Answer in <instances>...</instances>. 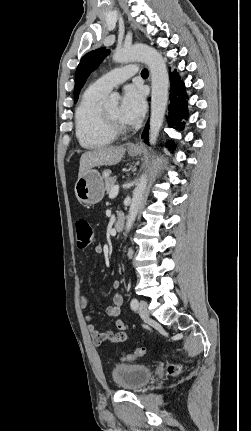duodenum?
<instances>
[{
    "label": "duodenum",
    "mask_w": 251,
    "mask_h": 431,
    "mask_svg": "<svg viewBox=\"0 0 251 431\" xmlns=\"http://www.w3.org/2000/svg\"><path fill=\"white\" fill-rule=\"evenodd\" d=\"M124 224H125V217H124V214H123V213H121V212H119V213L117 214V218H116V221H115V230H116L117 232L122 231V230H123V228H124Z\"/></svg>",
    "instance_id": "1"
}]
</instances>
